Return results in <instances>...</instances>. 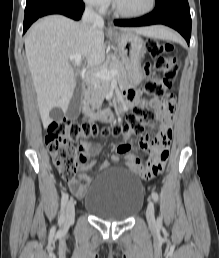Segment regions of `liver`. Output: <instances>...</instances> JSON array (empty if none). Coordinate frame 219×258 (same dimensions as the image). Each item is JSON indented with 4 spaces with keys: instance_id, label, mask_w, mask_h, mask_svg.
<instances>
[{
    "instance_id": "obj_1",
    "label": "liver",
    "mask_w": 219,
    "mask_h": 258,
    "mask_svg": "<svg viewBox=\"0 0 219 258\" xmlns=\"http://www.w3.org/2000/svg\"><path fill=\"white\" fill-rule=\"evenodd\" d=\"M147 37H161L162 27L121 28ZM173 38L176 35L172 34ZM28 67L37 94L39 113L44 124L49 113L59 107L66 111L76 87L70 57L81 55L91 67L100 66L106 56L104 30L101 26L77 23L62 15L38 20L25 37Z\"/></svg>"
}]
</instances>
